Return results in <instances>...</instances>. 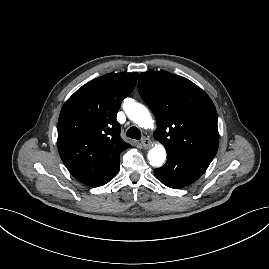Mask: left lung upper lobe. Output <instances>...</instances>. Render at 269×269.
<instances>
[{
  "instance_id": "5c2ea615",
  "label": "left lung upper lobe",
  "mask_w": 269,
  "mask_h": 269,
  "mask_svg": "<svg viewBox=\"0 0 269 269\" xmlns=\"http://www.w3.org/2000/svg\"><path fill=\"white\" fill-rule=\"evenodd\" d=\"M139 93L155 115L154 136L168 149L215 156L218 117L209 96L190 80L168 72H143Z\"/></svg>"
}]
</instances>
